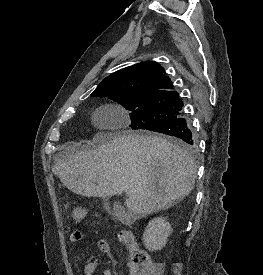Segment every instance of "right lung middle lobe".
Here are the masks:
<instances>
[{"mask_svg":"<svg viewBox=\"0 0 263 275\" xmlns=\"http://www.w3.org/2000/svg\"><path fill=\"white\" fill-rule=\"evenodd\" d=\"M94 97H109L121 103L130 112L132 129L152 131L182 115L183 102L176 95L137 96L122 90L102 91ZM184 148L192 146L177 142Z\"/></svg>","mask_w":263,"mask_h":275,"instance_id":"1","label":"right lung middle lobe"}]
</instances>
